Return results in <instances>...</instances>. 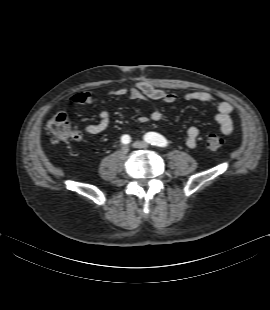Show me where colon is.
<instances>
[{"instance_id": "colon-1", "label": "colon", "mask_w": 270, "mask_h": 310, "mask_svg": "<svg viewBox=\"0 0 270 310\" xmlns=\"http://www.w3.org/2000/svg\"><path fill=\"white\" fill-rule=\"evenodd\" d=\"M49 132L55 140L68 142L76 140L78 137L77 131L70 127L68 115L65 112L56 113L47 124ZM224 144L221 136L212 134L206 139V146L210 150L220 149Z\"/></svg>"}]
</instances>
